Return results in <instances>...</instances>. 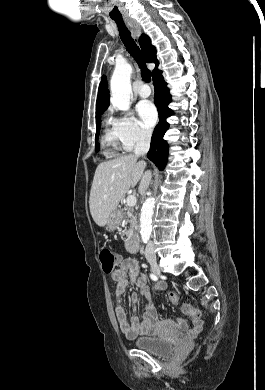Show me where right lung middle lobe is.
<instances>
[{
	"label": "right lung middle lobe",
	"mask_w": 265,
	"mask_h": 390,
	"mask_svg": "<svg viewBox=\"0 0 265 390\" xmlns=\"http://www.w3.org/2000/svg\"><path fill=\"white\" fill-rule=\"evenodd\" d=\"M100 121H101V117L96 119V136H95V149H96L95 151L96 152H98L100 150V145L98 144L99 131L101 128Z\"/></svg>",
	"instance_id": "obj_1"
}]
</instances>
